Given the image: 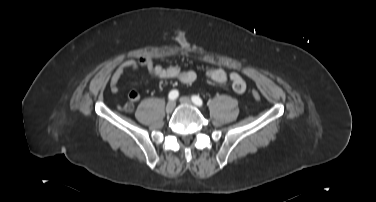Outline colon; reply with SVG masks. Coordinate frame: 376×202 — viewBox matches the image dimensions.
<instances>
[{"label": "colon", "instance_id": "obj_1", "mask_svg": "<svg viewBox=\"0 0 376 202\" xmlns=\"http://www.w3.org/2000/svg\"><path fill=\"white\" fill-rule=\"evenodd\" d=\"M253 97L256 99V100H258L259 98H260V95H259V93L258 92H253ZM128 111H130L131 110V106L129 105V106H127V108H126Z\"/></svg>", "mask_w": 376, "mask_h": 202}]
</instances>
